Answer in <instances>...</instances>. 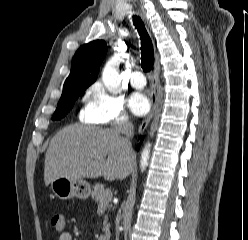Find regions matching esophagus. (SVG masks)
<instances>
[{
	"label": "esophagus",
	"mask_w": 248,
	"mask_h": 240,
	"mask_svg": "<svg viewBox=\"0 0 248 240\" xmlns=\"http://www.w3.org/2000/svg\"><path fill=\"white\" fill-rule=\"evenodd\" d=\"M159 74H160V61H159V55L156 54L155 57V64H154V74H153V79H152V94H151V104H152V109L149 113V115L143 120L139 127V132L142 133L146 127L148 126L149 122L151 121L156 108H157V90L159 86Z\"/></svg>",
	"instance_id": "esophagus-1"
}]
</instances>
